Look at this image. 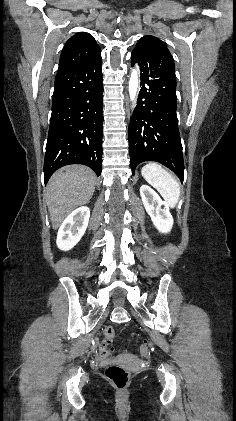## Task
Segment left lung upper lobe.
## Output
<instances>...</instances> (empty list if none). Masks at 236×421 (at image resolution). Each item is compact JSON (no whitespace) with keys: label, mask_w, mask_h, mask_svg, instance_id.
<instances>
[{"label":"left lung upper lobe","mask_w":236,"mask_h":421,"mask_svg":"<svg viewBox=\"0 0 236 421\" xmlns=\"http://www.w3.org/2000/svg\"><path fill=\"white\" fill-rule=\"evenodd\" d=\"M137 46L158 47L169 52L165 44L160 39L150 35L141 38L138 41Z\"/></svg>","instance_id":"5c2ea615"}]
</instances>
